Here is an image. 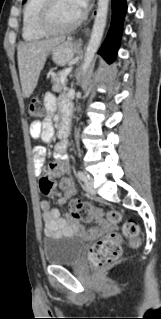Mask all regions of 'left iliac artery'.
<instances>
[{"label": "left iliac artery", "instance_id": "obj_1", "mask_svg": "<svg viewBox=\"0 0 161 319\" xmlns=\"http://www.w3.org/2000/svg\"><path fill=\"white\" fill-rule=\"evenodd\" d=\"M77 175H78V177H79V179L80 180H82V181H86L89 177H88V175H86L84 172H82V171H78L77 172Z\"/></svg>", "mask_w": 161, "mask_h": 319}]
</instances>
